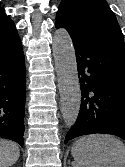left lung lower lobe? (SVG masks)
I'll use <instances>...</instances> for the list:
<instances>
[{"mask_svg":"<svg viewBox=\"0 0 125 167\" xmlns=\"http://www.w3.org/2000/svg\"><path fill=\"white\" fill-rule=\"evenodd\" d=\"M55 26L61 27L57 22ZM71 38L82 101L65 143L94 133L125 139V43L108 34Z\"/></svg>","mask_w":125,"mask_h":167,"instance_id":"left-lung-lower-lobe-1","label":"left lung lower lobe"}]
</instances>
